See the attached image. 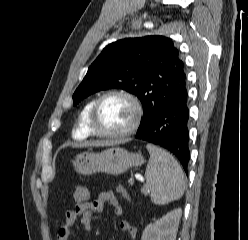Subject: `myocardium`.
<instances>
[{
	"label": "myocardium",
	"instance_id": "f54148a6",
	"mask_svg": "<svg viewBox=\"0 0 248 240\" xmlns=\"http://www.w3.org/2000/svg\"><path fill=\"white\" fill-rule=\"evenodd\" d=\"M109 97H122L126 99L133 108L134 115H133L132 122L126 129L122 131L114 132V133H106V132L100 131L97 127V114H98L99 107L101 103ZM142 118H143V107H142L140 100L134 94L126 90H110V91L103 93L101 96H99L96 99L92 107V110H91L89 124H90L92 134L96 136L103 137V138H121V137H126L136 132L141 124Z\"/></svg>",
	"mask_w": 248,
	"mask_h": 240
}]
</instances>
